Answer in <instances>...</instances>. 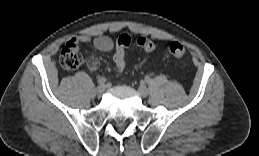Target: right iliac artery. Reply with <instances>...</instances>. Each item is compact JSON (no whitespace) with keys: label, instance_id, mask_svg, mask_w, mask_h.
Segmentation results:
<instances>
[{"label":"right iliac artery","instance_id":"obj_1","mask_svg":"<svg viewBox=\"0 0 259 156\" xmlns=\"http://www.w3.org/2000/svg\"><path fill=\"white\" fill-rule=\"evenodd\" d=\"M106 82V78L105 77H101L98 79V84L102 85Z\"/></svg>","mask_w":259,"mask_h":156}]
</instances>
